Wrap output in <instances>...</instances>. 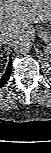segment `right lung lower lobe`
<instances>
[{"label":"right lung lower lobe","instance_id":"98d812e1","mask_svg":"<svg viewBox=\"0 0 51 153\" xmlns=\"http://www.w3.org/2000/svg\"><path fill=\"white\" fill-rule=\"evenodd\" d=\"M12 71V60L9 58V64L8 67L4 73V75L0 78V87H2L9 79Z\"/></svg>","mask_w":51,"mask_h":153}]
</instances>
